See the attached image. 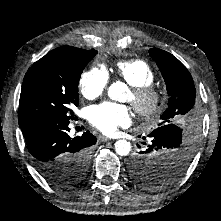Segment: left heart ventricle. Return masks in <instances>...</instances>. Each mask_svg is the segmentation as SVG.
I'll use <instances>...</instances> for the list:
<instances>
[{
    "label": "left heart ventricle",
    "instance_id": "b2bd125f",
    "mask_svg": "<svg viewBox=\"0 0 221 221\" xmlns=\"http://www.w3.org/2000/svg\"><path fill=\"white\" fill-rule=\"evenodd\" d=\"M131 93L128 94V100H131Z\"/></svg>",
    "mask_w": 221,
    "mask_h": 221
}]
</instances>
